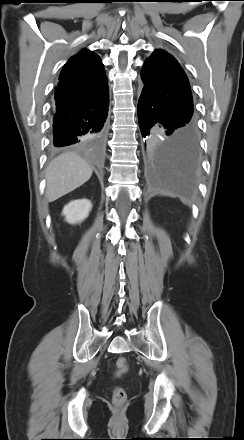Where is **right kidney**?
Returning a JSON list of instances; mask_svg holds the SVG:
<instances>
[{
    "label": "right kidney",
    "mask_w": 244,
    "mask_h": 440,
    "mask_svg": "<svg viewBox=\"0 0 244 440\" xmlns=\"http://www.w3.org/2000/svg\"><path fill=\"white\" fill-rule=\"evenodd\" d=\"M92 203L88 199H77L64 206L62 215L66 222L77 224L84 221L91 211Z\"/></svg>",
    "instance_id": "right-kidney-1"
}]
</instances>
